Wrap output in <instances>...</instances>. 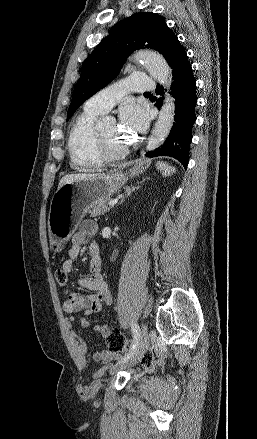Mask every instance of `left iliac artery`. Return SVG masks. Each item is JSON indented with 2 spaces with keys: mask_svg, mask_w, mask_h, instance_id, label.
Here are the masks:
<instances>
[{
  "mask_svg": "<svg viewBox=\"0 0 257 439\" xmlns=\"http://www.w3.org/2000/svg\"><path fill=\"white\" fill-rule=\"evenodd\" d=\"M131 330H132V334H133L132 347H131L130 351L127 354H125V356L121 359L120 362L126 361L129 358V356L135 351V349L138 345V341L140 338L139 326L136 323H132Z\"/></svg>",
  "mask_w": 257,
  "mask_h": 439,
  "instance_id": "44dca946",
  "label": "left iliac artery"
}]
</instances>
